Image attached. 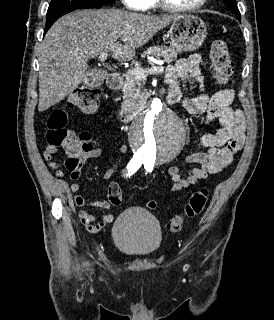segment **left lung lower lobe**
<instances>
[{
  "mask_svg": "<svg viewBox=\"0 0 274 320\" xmlns=\"http://www.w3.org/2000/svg\"><path fill=\"white\" fill-rule=\"evenodd\" d=\"M237 19H238V20H240V19H241L240 14H239V15H237Z\"/></svg>",
  "mask_w": 274,
  "mask_h": 320,
  "instance_id": "0a47b994",
  "label": "left lung lower lobe"
}]
</instances>
